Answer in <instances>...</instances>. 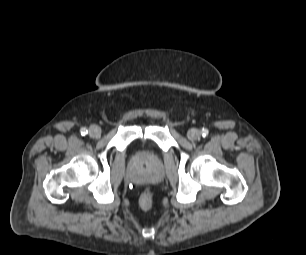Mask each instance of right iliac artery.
<instances>
[{
	"instance_id": "right-iliac-artery-1",
	"label": "right iliac artery",
	"mask_w": 306,
	"mask_h": 255,
	"mask_svg": "<svg viewBox=\"0 0 306 255\" xmlns=\"http://www.w3.org/2000/svg\"><path fill=\"white\" fill-rule=\"evenodd\" d=\"M80 132L81 135L85 136L88 133V130L86 128H81Z\"/></svg>"
}]
</instances>
